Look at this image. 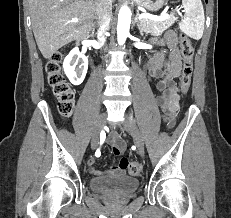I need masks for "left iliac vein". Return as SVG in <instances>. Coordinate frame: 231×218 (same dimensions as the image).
<instances>
[{
	"mask_svg": "<svg viewBox=\"0 0 231 218\" xmlns=\"http://www.w3.org/2000/svg\"><path fill=\"white\" fill-rule=\"evenodd\" d=\"M123 126L126 129V131H128L131 136L134 139L135 145L137 147V151L139 153V155L141 157L144 156V141H143V137L141 135L140 130L138 129L136 123L132 120H125L123 122Z\"/></svg>",
	"mask_w": 231,
	"mask_h": 218,
	"instance_id": "4c4485c4",
	"label": "left iliac vein"
}]
</instances>
